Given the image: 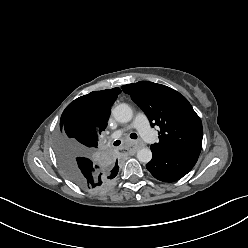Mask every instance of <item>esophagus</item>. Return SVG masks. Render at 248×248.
Listing matches in <instances>:
<instances>
[{
  "label": "esophagus",
  "mask_w": 248,
  "mask_h": 248,
  "mask_svg": "<svg viewBox=\"0 0 248 248\" xmlns=\"http://www.w3.org/2000/svg\"><path fill=\"white\" fill-rule=\"evenodd\" d=\"M141 147V143H135L134 142V145H133V150H137Z\"/></svg>",
  "instance_id": "obj_1"
}]
</instances>
